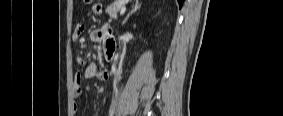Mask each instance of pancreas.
<instances>
[{
	"mask_svg": "<svg viewBox=\"0 0 283 116\" xmlns=\"http://www.w3.org/2000/svg\"><path fill=\"white\" fill-rule=\"evenodd\" d=\"M123 1L117 0L113 4L107 7L106 13L109 15L111 19L117 18L118 12L121 9V3Z\"/></svg>",
	"mask_w": 283,
	"mask_h": 116,
	"instance_id": "cf45deb5",
	"label": "pancreas"
}]
</instances>
